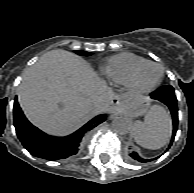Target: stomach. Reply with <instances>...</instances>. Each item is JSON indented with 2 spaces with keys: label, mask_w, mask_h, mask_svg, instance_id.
<instances>
[{
  "label": "stomach",
  "mask_w": 194,
  "mask_h": 193,
  "mask_svg": "<svg viewBox=\"0 0 194 193\" xmlns=\"http://www.w3.org/2000/svg\"><path fill=\"white\" fill-rule=\"evenodd\" d=\"M149 106L150 103L146 97H137L130 102L119 99L116 103V110L129 117H138L146 113Z\"/></svg>",
  "instance_id": "1"
}]
</instances>
